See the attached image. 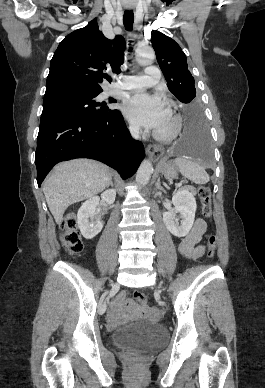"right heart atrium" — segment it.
<instances>
[{
  "label": "right heart atrium",
  "mask_w": 265,
  "mask_h": 388,
  "mask_svg": "<svg viewBox=\"0 0 265 388\" xmlns=\"http://www.w3.org/2000/svg\"><path fill=\"white\" fill-rule=\"evenodd\" d=\"M131 131L133 132V133H138L139 132V128L136 126V125H131Z\"/></svg>",
  "instance_id": "obj_1"
}]
</instances>
